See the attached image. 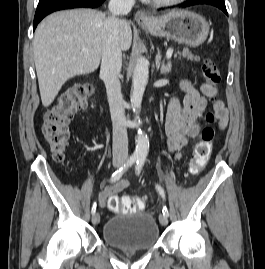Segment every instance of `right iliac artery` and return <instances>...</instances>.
<instances>
[{
  "mask_svg": "<svg viewBox=\"0 0 265 269\" xmlns=\"http://www.w3.org/2000/svg\"><path fill=\"white\" fill-rule=\"evenodd\" d=\"M138 158H139L138 156H131L123 166L118 168L112 174V176L110 178V182L113 183V182H116L117 180H119L122 177V175L124 174V172L127 170V168L132 166L134 163L137 162ZM95 211H96V202H94L92 205L91 213L94 214Z\"/></svg>",
  "mask_w": 265,
  "mask_h": 269,
  "instance_id": "obj_1",
  "label": "right iliac artery"
}]
</instances>
